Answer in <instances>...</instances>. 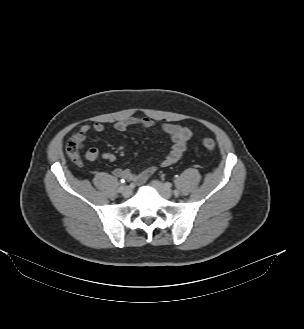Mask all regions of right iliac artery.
<instances>
[{
  "label": "right iliac artery",
  "instance_id": "right-iliac-artery-1",
  "mask_svg": "<svg viewBox=\"0 0 304 329\" xmlns=\"http://www.w3.org/2000/svg\"><path fill=\"white\" fill-rule=\"evenodd\" d=\"M123 188H124V184L123 185H121L120 187H119V189H118V192H122L123 191Z\"/></svg>",
  "mask_w": 304,
  "mask_h": 329
}]
</instances>
